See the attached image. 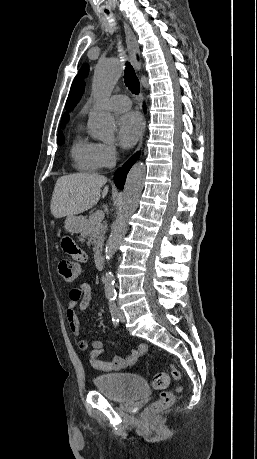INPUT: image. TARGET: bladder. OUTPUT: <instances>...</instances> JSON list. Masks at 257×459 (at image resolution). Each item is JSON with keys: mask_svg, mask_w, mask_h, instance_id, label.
<instances>
[{"mask_svg": "<svg viewBox=\"0 0 257 459\" xmlns=\"http://www.w3.org/2000/svg\"><path fill=\"white\" fill-rule=\"evenodd\" d=\"M93 384L98 392L121 403L135 401L150 392L148 384L131 373L97 375L93 378Z\"/></svg>", "mask_w": 257, "mask_h": 459, "instance_id": "31cf9c89", "label": "bladder"}]
</instances>
